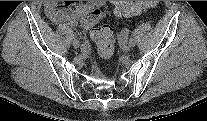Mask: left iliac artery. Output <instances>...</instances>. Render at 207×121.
<instances>
[{"instance_id": "left-iliac-artery-1", "label": "left iliac artery", "mask_w": 207, "mask_h": 121, "mask_svg": "<svg viewBox=\"0 0 207 121\" xmlns=\"http://www.w3.org/2000/svg\"><path fill=\"white\" fill-rule=\"evenodd\" d=\"M128 35H129V34H128L127 31H125V30L122 31V32L119 34V43L122 44V45L125 44V43L128 41V39H129V38H128ZM129 42H130V43H133V44L135 45V41H134L133 39H130Z\"/></svg>"}]
</instances>
